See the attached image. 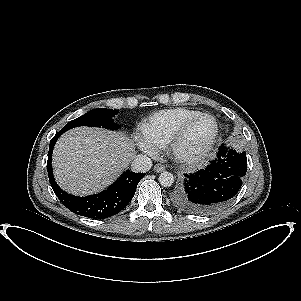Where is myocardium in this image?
<instances>
[{
    "label": "myocardium",
    "instance_id": "f54148a6",
    "mask_svg": "<svg viewBox=\"0 0 301 301\" xmlns=\"http://www.w3.org/2000/svg\"><path fill=\"white\" fill-rule=\"evenodd\" d=\"M202 118L210 119L213 122L214 129L210 139L199 151L193 154H185L181 152L180 144L184 139L188 129L191 127L193 123H195L196 121ZM217 136H218V123L215 117L208 113H199L193 116L192 118L188 119L187 121H185L177 129V131L173 134V136L168 141L166 148L168 153L176 160L183 163L193 164V163L200 162L201 160L205 159L208 156L209 152L214 147V144L217 140Z\"/></svg>",
    "mask_w": 301,
    "mask_h": 301
}]
</instances>
